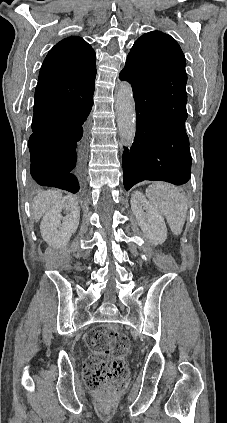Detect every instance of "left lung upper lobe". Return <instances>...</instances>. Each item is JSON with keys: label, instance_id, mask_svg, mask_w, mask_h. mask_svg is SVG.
Instances as JSON below:
<instances>
[{"label": "left lung upper lobe", "instance_id": "left-lung-upper-lobe-1", "mask_svg": "<svg viewBox=\"0 0 227 423\" xmlns=\"http://www.w3.org/2000/svg\"><path fill=\"white\" fill-rule=\"evenodd\" d=\"M178 43L160 31L143 34L128 54L119 78L146 94V102L163 113L186 111L187 74Z\"/></svg>", "mask_w": 227, "mask_h": 423}]
</instances>
